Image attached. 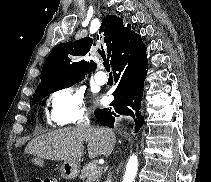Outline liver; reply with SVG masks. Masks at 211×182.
I'll use <instances>...</instances> for the list:
<instances>
[{"instance_id": "liver-1", "label": "liver", "mask_w": 211, "mask_h": 182, "mask_svg": "<svg viewBox=\"0 0 211 182\" xmlns=\"http://www.w3.org/2000/svg\"><path fill=\"white\" fill-rule=\"evenodd\" d=\"M87 142L90 158L110 154L116 138L112 130L95 127H68L32 139L25 148L26 154L39 159L73 162L84 154Z\"/></svg>"}]
</instances>
